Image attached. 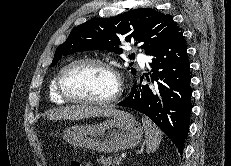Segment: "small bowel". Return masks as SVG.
<instances>
[{"mask_svg": "<svg viewBox=\"0 0 231 166\" xmlns=\"http://www.w3.org/2000/svg\"><path fill=\"white\" fill-rule=\"evenodd\" d=\"M85 166H90V165H88V164H85Z\"/></svg>", "mask_w": 231, "mask_h": 166, "instance_id": "obj_1", "label": "small bowel"}]
</instances>
